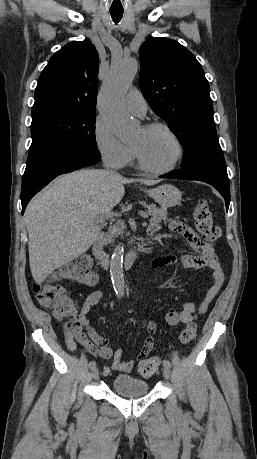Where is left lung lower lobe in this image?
I'll return each instance as SVG.
<instances>
[{
  "label": "left lung lower lobe",
  "instance_id": "left-lung-lower-lobe-1",
  "mask_svg": "<svg viewBox=\"0 0 257 459\" xmlns=\"http://www.w3.org/2000/svg\"><path fill=\"white\" fill-rule=\"evenodd\" d=\"M161 176L162 178L199 180L216 188L224 197L228 211L230 203V183L221 147L216 135L206 137L202 144L200 158L193 164Z\"/></svg>",
  "mask_w": 257,
  "mask_h": 459
}]
</instances>
